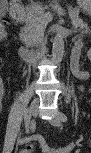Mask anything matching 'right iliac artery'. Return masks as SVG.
<instances>
[{
  "mask_svg": "<svg viewBox=\"0 0 91 153\" xmlns=\"http://www.w3.org/2000/svg\"><path fill=\"white\" fill-rule=\"evenodd\" d=\"M24 120H25V124H26V129L28 131V128H29V121L27 120V118L24 117Z\"/></svg>",
  "mask_w": 91,
  "mask_h": 153,
  "instance_id": "obj_1",
  "label": "right iliac artery"
}]
</instances>
